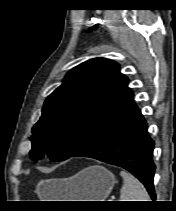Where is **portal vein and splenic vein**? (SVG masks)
I'll list each match as a JSON object with an SVG mask.
<instances>
[{"instance_id":"18ae733b","label":"portal vein and splenic vein","mask_w":176,"mask_h":211,"mask_svg":"<svg viewBox=\"0 0 176 211\" xmlns=\"http://www.w3.org/2000/svg\"><path fill=\"white\" fill-rule=\"evenodd\" d=\"M112 199H115V197H112ZM112 199L110 201H112Z\"/></svg>"}]
</instances>
